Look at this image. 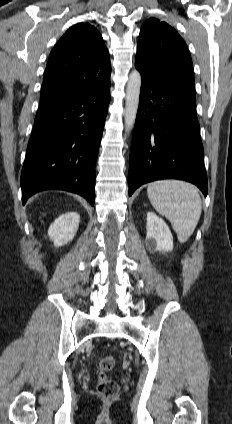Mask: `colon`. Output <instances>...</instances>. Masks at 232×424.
<instances>
[{"label":"colon","instance_id":"5ec220e1","mask_svg":"<svg viewBox=\"0 0 232 424\" xmlns=\"http://www.w3.org/2000/svg\"><path fill=\"white\" fill-rule=\"evenodd\" d=\"M115 366V359L108 355L101 358L99 362V375L97 379V391L100 396L107 399L115 398L118 394L119 388L117 383L107 376Z\"/></svg>","mask_w":232,"mask_h":424}]
</instances>
